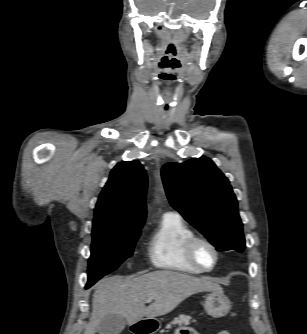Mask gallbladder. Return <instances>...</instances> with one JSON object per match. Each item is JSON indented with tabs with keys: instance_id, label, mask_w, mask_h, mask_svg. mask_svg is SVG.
Here are the masks:
<instances>
[{
	"instance_id": "bac80fb5",
	"label": "gallbladder",
	"mask_w": 307,
	"mask_h": 334,
	"mask_svg": "<svg viewBox=\"0 0 307 334\" xmlns=\"http://www.w3.org/2000/svg\"><path fill=\"white\" fill-rule=\"evenodd\" d=\"M126 319L118 314H110L98 325L99 334H120L126 326Z\"/></svg>"
}]
</instances>
